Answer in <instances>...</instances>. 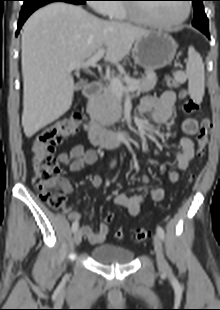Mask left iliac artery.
Here are the masks:
<instances>
[{
    "mask_svg": "<svg viewBox=\"0 0 220 310\" xmlns=\"http://www.w3.org/2000/svg\"><path fill=\"white\" fill-rule=\"evenodd\" d=\"M157 234L159 235V237L164 240L165 238V233L162 227L157 226Z\"/></svg>",
    "mask_w": 220,
    "mask_h": 310,
    "instance_id": "obj_1",
    "label": "left iliac artery"
}]
</instances>
